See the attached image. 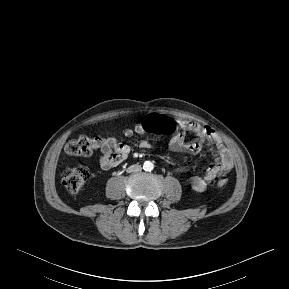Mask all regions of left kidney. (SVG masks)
I'll list each match as a JSON object with an SVG mask.
<instances>
[{
  "mask_svg": "<svg viewBox=\"0 0 289 289\" xmlns=\"http://www.w3.org/2000/svg\"><path fill=\"white\" fill-rule=\"evenodd\" d=\"M192 188L195 191H204L206 188V183L199 177L193 178V185Z\"/></svg>",
  "mask_w": 289,
  "mask_h": 289,
  "instance_id": "obj_1",
  "label": "left kidney"
}]
</instances>
